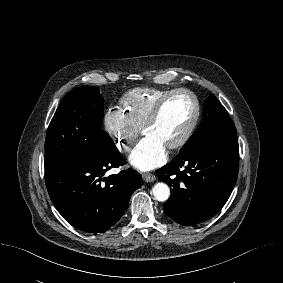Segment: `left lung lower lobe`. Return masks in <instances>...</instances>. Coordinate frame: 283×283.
<instances>
[{
    "label": "left lung lower lobe",
    "instance_id": "left-lung-lower-lobe-1",
    "mask_svg": "<svg viewBox=\"0 0 283 283\" xmlns=\"http://www.w3.org/2000/svg\"><path fill=\"white\" fill-rule=\"evenodd\" d=\"M239 146L236 135L206 141L181 152L156 170L171 188L165 213L185 226L206 221L219 212L237 180Z\"/></svg>",
    "mask_w": 283,
    "mask_h": 283
}]
</instances>
